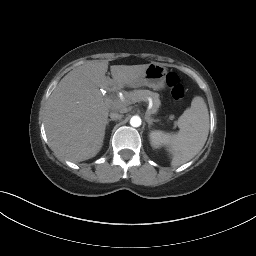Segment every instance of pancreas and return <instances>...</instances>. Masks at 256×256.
Masks as SVG:
<instances>
[{
	"instance_id": "pancreas-1",
	"label": "pancreas",
	"mask_w": 256,
	"mask_h": 256,
	"mask_svg": "<svg viewBox=\"0 0 256 256\" xmlns=\"http://www.w3.org/2000/svg\"><path fill=\"white\" fill-rule=\"evenodd\" d=\"M125 98L126 103L147 101V98H151L153 101V106L150 109V114H156L161 105L159 94L149 90H134L132 92L126 93ZM126 103H122V105H126ZM169 119L173 120L174 115H170ZM175 125H177V122H175Z\"/></svg>"
}]
</instances>
